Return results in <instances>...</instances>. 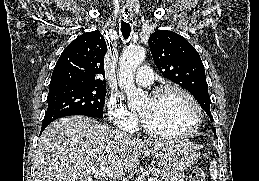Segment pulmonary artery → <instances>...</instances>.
<instances>
[{
    "instance_id": "pulmonary-artery-1",
    "label": "pulmonary artery",
    "mask_w": 259,
    "mask_h": 181,
    "mask_svg": "<svg viewBox=\"0 0 259 181\" xmlns=\"http://www.w3.org/2000/svg\"><path fill=\"white\" fill-rule=\"evenodd\" d=\"M135 81L143 86L151 85L153 82V72L151 68L148 66L140 67L139 72L135 77Z\"/></svg>"
}]
</instances>
